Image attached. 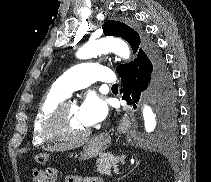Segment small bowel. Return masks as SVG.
<instances>
[{
	"label": "small bowel",
	"mask_w": 211,
	"mask_h": 182,
	"mask_svg": "<svg viewBox=\"0 0 211 182\" xmlns=\"http://www.w3.org/2000/svg\"><path fill=\"white\" fill-rule=\"evenodd\" d=\"M65 182H103V180L100 177L84 179L80 176H69L66 178Z\"/></svg>",
	"instance_id": "obj_1"
}]
</instances>
